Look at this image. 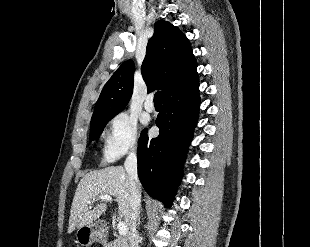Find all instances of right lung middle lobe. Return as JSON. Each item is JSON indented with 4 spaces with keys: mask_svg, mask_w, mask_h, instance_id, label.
<instances>
[{
    "mask_svg": "<svg viewBox=\"0 0 310 247\" xmlns=\"http://www.w3.org/2000/svg\"><path fill=\"white\" fill-rule=\"evenodd\" d=\"M114 116H108L100 118L91 123V131H90V140L97 139L98 136L102 133L105 125L113 118Z\"/></svg>",
    "mask_w": 310,
    "mask_h": 247,
    "instance_id": "obj_1",
    "label": "right lung middle lobe"
}]
</instances>
